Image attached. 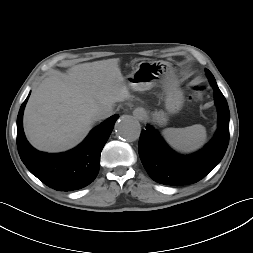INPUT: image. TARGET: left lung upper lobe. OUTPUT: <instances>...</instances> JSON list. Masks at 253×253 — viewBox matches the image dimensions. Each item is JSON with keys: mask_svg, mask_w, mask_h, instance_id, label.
Listing matches in <instances>:
<instances>
[{"mask_svg": "<svg viewBox=\"0 0 253 253\" xmlns=\"http://www.w3.org/2000/svg\"><path fill=\"white\" fill-rule=\"evenodd\" d=\"M206 73H207V77H208V79L210 81L211 86L212 87L217 86V83H216L215 78L212 75V73L208 69H206Z\"/></svg>", "mask_w": 253, "mask_h": 253, "instance_id": "left-lung-upper-lobe-1", "label": "left lung upper lobe"}]
</instances>
